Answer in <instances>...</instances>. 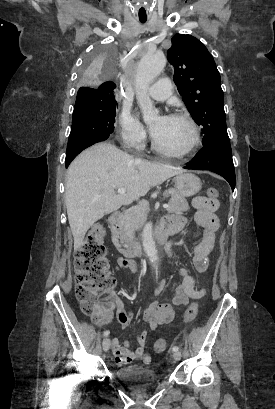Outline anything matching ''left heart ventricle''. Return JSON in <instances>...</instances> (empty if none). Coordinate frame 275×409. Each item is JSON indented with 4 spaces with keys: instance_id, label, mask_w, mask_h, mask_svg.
Wrapping results in <instances>:
<instances>
[{
    "instance_id": "b2bd125f",
    "label": "left heart ventricle",
    "mask_w": 275,
    "mask_h": 409,
    "mask_svg": "<svg viewBox=\"0 0 275 409\" xmlns=\"http://www.w3.org/2000/svg\"><path fill=\"white\" fill-rule=\"evenodd\" d=\"M151 128L157 143L167 149H182L191 139V130L184 121L155 117L151 121Z\"/></svg>"
}]
</instances>
